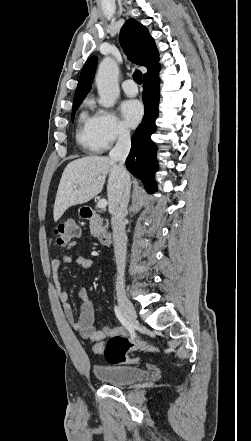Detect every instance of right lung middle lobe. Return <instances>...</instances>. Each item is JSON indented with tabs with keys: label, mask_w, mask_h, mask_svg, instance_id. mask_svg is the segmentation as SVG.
Masks as SVG:
<instances>
[{
	"label": "right lung middle lobe",
	"mask_w": 251,
	"mask_h": 441,
	"mask_svg": "<svg viewBox=\"0 0 251 441\" xmlns=\"http://www.w3.org/2000/svg\"><path fill=\"white\" fill-rule=\"evenodd\" d=\"M83 100H79V101H75L73 103V109H72V119H74L75 113L78 109V107L80 106V104L82 103Z\"/></svg>",
	"instance_id": "dd1d6c3e"
}]
</instances>
